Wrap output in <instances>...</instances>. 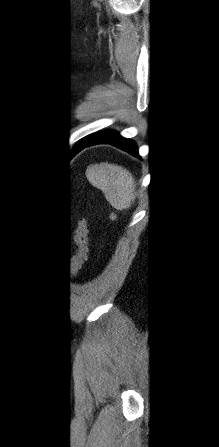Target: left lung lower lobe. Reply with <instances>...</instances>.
<instances>
[{
    "label": "left lung lower lobe",
    "instance_id": "1",
    "mask_svg": "<svg viewBox=\"0 0 219 447\" xmlns=\"http://www.w3.org/2000/svg\"><path fill=\"white\" fill-rule=\"evenodd\" d=\"M96 144H111L132 154L133 156L139 157L138 148L134 142L121 137L117 132L108 130L88 136L87 138L83 139L73 148L72 155H75L88 146Z\"/></svg>",
    "mask_w": 219,
    "mask_h": 447
}]
</instances>
